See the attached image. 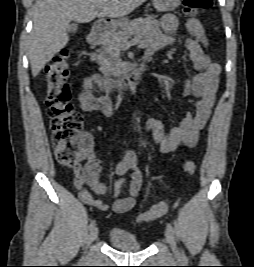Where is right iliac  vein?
Wrapping results in <instances>:
<instances>
[{
    "instance_id": "63e3f726",
    "label": "right iliac vein",
    "mask_w": 254,
    "mask_h": 267,
    "mask_svg": "<svg viewBox=\"0 0 254 267\" xmlns=\"http://www.w3.org/2000/svg\"><path fill=\"white\" fill-rule=\"evenodd\" d=\"M98 233H99L98 227L94 226V227L90 230V233H89V236H88V244H90V243H92L94 240H96V238L98 237Z\"/></svg>"
}]
</instances>
